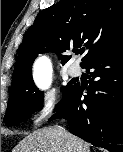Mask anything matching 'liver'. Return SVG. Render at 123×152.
Listing matches in <instances>:
<instances>
[{
    "label": "liver",
    "mask_w": 123,
    "mask_h": 152,
    "mask_svg": "<svg viewBox=\"0 0 123 152\" xmlns=\"http://www.w3.org/2000/svg\"><path fill=\"white\" fill-rule=\"evenodd\" d=\"M13 152H90L87 142L58 127H47L26 136Z\"/></svg>",
    "instance_id": "liver-1"
}]
</instances>
